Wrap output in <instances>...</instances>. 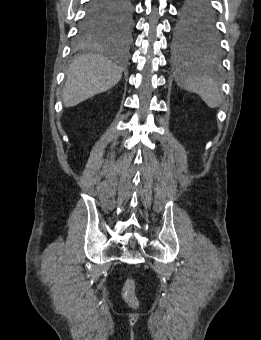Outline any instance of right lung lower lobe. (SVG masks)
<instances>
[{"label": "right lung lower lobe", "mask_w": 261, "mask_h": 340, "mask_svg": "<svg viewBox=\"0 0 261 340\" xmlns=\"http://www.w3.org/2000/svg\"><path fill=\"white\" fill-rule=\"evenodd\" d=\"M129 1L131 2V0ZM125 6L126 0H90L86 16L91 17L99 14L115 16L124 10Z\"/></svg>", "instance_id": "obj_1"}]
</instances>
